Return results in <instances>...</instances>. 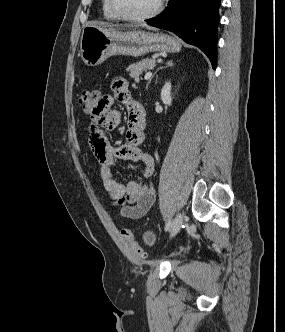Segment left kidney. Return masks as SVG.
Wrapping results in <instances>:
<instances>
[{
    "label": "left kidney",
    "mask_w": 285,
    "mask_h": 332,
    "mask_svg": "<svg viewBox=\"0 0 285 332\" xmlns=\"http://www.w3.org/2000/svg\"><path fill=\"white\" fill-rule=\"evenodd\" d=\"M161 100L165 105H171L172 97H171V83L167 82L163 86L161 90Z\"/></svg>",
    "instance_id": "5707ae66"
}]
</instances>
